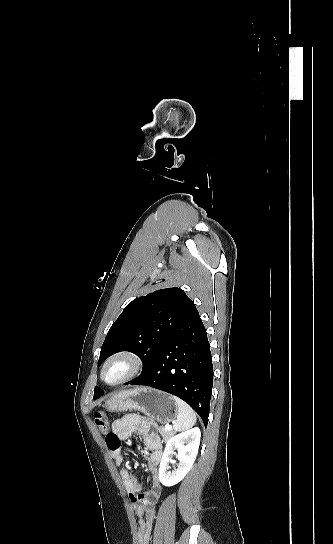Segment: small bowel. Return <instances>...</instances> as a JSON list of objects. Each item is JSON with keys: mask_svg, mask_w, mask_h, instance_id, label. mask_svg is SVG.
I'll use <instances>...</instances> for the list:
<instances>
[{"mask_svg": "<svg viewBox=\"0 0 333 544\" xmlns=\"http://www.w3.org/2000/svg\"><path fill=\"white\" fill-rule=\"evenodd\" d=\"M134 433H138L142 437L148 450H140V452L145 458L151 476V485L149 490L141 492V484L127 468L120 470V477L126 491L129 493L133 509L139 517L138 544H148L156 514L155 504L162 490L158 476V466L162 459V444L156 432V423L140 415H126L112 424V431L106 436V446L115 463L121 466L124 463L121 442L129 441Z\"/></svg>", "mask_w": 333, "mask_h": 544, "instance_id": "obj_1", "label": "small bowel"}]
</instances>
